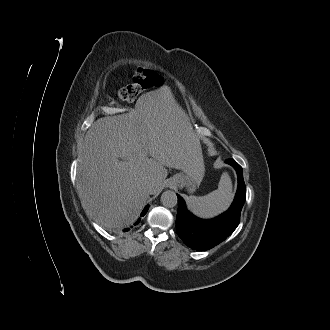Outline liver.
I'll use <instances>...</instances> for the list:
<instances>
[{
  "mask_svg": "<svg viewBox=\"0 0 330 330\" xmlns=\"http://www.w3.org/2000/svg\"><path fill=\"white\" fill-rule=\"evenodd\" d=\"M198 152L185 112L169 98L142 95L131 112L99 118L88 130L77 169L82 206L105 228L129 226L149 197L147 182L159 192L165 167L183 170Z\"/></svg>",
  "mask_w": 330,
  "mask_h": 330,
  "instance_id": "6515ba94",
  "label": "liver"
}]
</instances>
